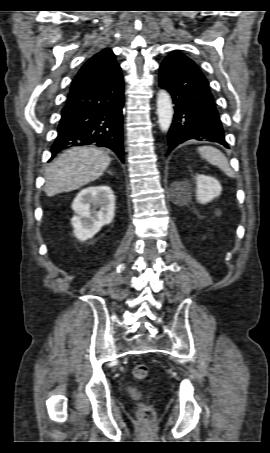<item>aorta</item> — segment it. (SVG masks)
<instances>
[{
	"label": "aorta",
	"mask_w": 270,
	"mask_h": 453,
	"mask_svg": "<svg viewBox=\"0 0 270 453\" xmlns=\"http://www.w3.org/2000/svg\"><path fill=\"white\" fill-rule=\"evenodd\" d=\"M157 114L160 129L167 132L173 119V105L169 93L161 89L157 94Z\"/></svg>",
	"instance_id": "1"
}]
</instances>
